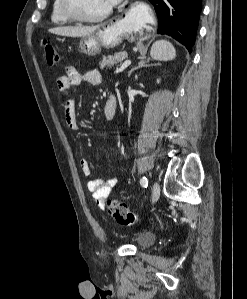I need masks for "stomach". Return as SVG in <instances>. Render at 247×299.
<instances>
[{
  "label": "stomach",
  "mask_w": 247,
  "mask_h": 299,
  "mask_svg": "<svg viewBox=\"0 0 247 299\" xmlns=\"http://www.w3.org/2000/svg\"><path fill=\"white\" fill-rule=\"evenodd\" d=\"M127 35L128 31L123 22L109 21L100 25L90 35L82 37L79 48L85 55L95 56L102 48L116 47Z\"/></svg>",
  "instance_id": "1"
}]
</instances>
